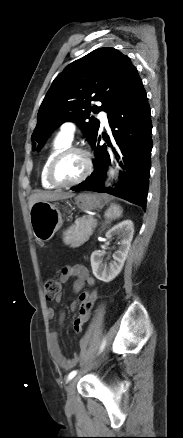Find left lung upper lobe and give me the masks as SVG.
Returning <instances> with one entry per match:
<instances>
[{"label": "left lung upper lobe", "mask_w": 183, "mask_h": 438, "mask_svg": "<svg viewBox=\"0 0 183 438\" xmlns=\"http://www.w3.org/2000/svg\"><path fill=\"white\" fill-rule=\"evenodd\" d=\"M130 59L114 48H99L69 64L53 81L38 112L31 139L43 146L66 121L77 122L87 140L97 137L100 122L90 112H108L138 77ZM92 101H101L100 107Z\"/></svg>", "instance_id": "5c2ea615"}]
</instances>
